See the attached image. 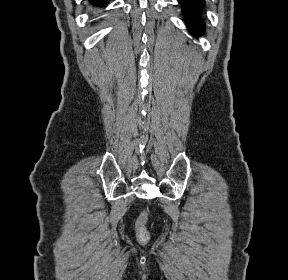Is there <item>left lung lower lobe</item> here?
I'll return each mask as SVG.
<instances>
[{
    "label": "left lung lower lobe",
    "instance_id": "1",
    "mask_svg": "<svg viewBox=\"0 0 288 280\" xmlns=\"http://www.w3.org/2000/svg\"><path fill=\"white\" fill-rule=\"evenodd\" d=\"M182 4L185 21L190 32L200 34L204 29V24L200 20L199 10L204 5V0H179Z\"/></svg>",
    "mask_w": 288,
    "mask_h": 280
}]
</instances>
